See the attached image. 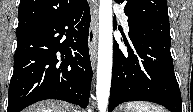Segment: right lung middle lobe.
Listing matches in <instances>:
<instances>
[{
    "instance_id": "right-lung-middle-lobe-1",
    "label": "right lung middle lobe",
    "mask_w": 193,
    "mask_h": 112,
    "mask_svg": "<svg viewBox=\"0 0 193 112\" xmlns=\"http://www.w3.org/2000/svg\"><path fill=\"white\" fill-rule=\"evenodd\" d=\"M23 33H25V32H23ZM23 33H17L16 36L21 35V34H23Z\"/></svg>"
}]
</instances>
